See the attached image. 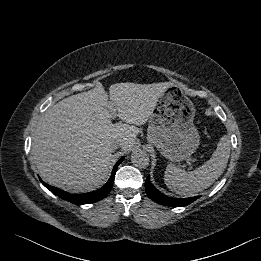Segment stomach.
Masks as SVG:
<instances>
[{"label":"stomach","instance_id":"obj_1","mask_svg":"<svg viewBox=\"0 0 261 261\" xmlns=\"http://www.w3.org/2000/svg\"><path fill=\"white\" fill-rule=\"evenodd\" d=\"M195 107L180 83H172L159 97L150 115L147 139L170 161L190 157L200 136L194 125Z\"/></svg>","mask_w":261,"mask_h":261}]
</instances>
